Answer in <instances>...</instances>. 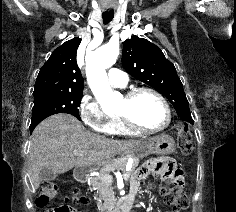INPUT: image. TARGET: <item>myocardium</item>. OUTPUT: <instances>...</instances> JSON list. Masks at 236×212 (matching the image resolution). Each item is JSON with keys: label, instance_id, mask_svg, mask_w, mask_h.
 Instances as JSON below:
<instances>
[{"label": "myocardium", "instance_id": "myocardium-1", "mask_svg": "<svg viewBox=\"0 0 236 212\" xmlns=\"http://www.w3.org/2000/svg\"><path fill=\"white\" fill-rule=\"evenodd\" d=\"M142 93L152 94L153 96L158 98L162 102V104L164 105V107L166 109V113H167V120L161 127L154 128V129L143 128L134 119L132 111H131V107H132L134 100ZM124 99H125L129 108L126 111L119 113L117 115V117L121 120L123 125L129 131H131L135 134H154V133H158V132L165 130L171 124L172 110H171L170 104L167 101V99L156 89H153L151 87H146V86L132 87L125 92Z\"/></svg>", "mask_w": 236, "mask_h": 212}]
</instances>
